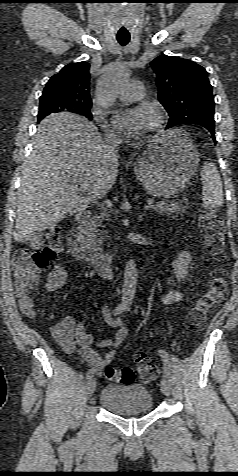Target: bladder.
I'll use <instances>...</instances> for the list:
<instances>
[{
  "instance_id": "1",
  "label": "bladder",
  "mask_w": 238,
  "mask_h": 476,
  "mask_svg": "<svg viewBox=\"0 0 238 476\" xmlns=\"http://www.w3.org/2000/svg\"><path fill=\"white\" fill-rule=\"evenodd\" d=\"M99 403L110 413L130 416L150 411L153 397L144 385L109 384L101 391Z\"/></svg>"
}]
</instances>
